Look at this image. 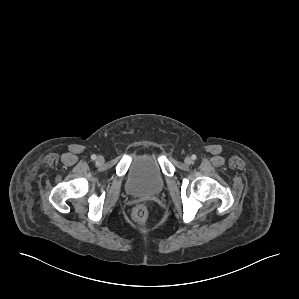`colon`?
<instances>
[{
  "label": "colon",
  "mask_w": 299,
  "mask_h": 299,
  "mask_svg": "<svg viewBox=\"0 0 299 299\" xmlns=\"http://www.w3.org/2000/svg\"><path fill=\"white\" fill-rule=\"evenodd\" d=\"M132 219L136 222H144L149 216V209L146 205H137L131 213Z\"/></svg>",
  "instance_id": "1"
}]
</instances>
